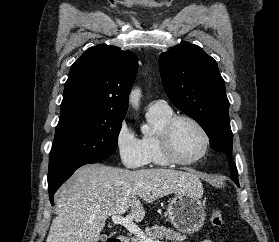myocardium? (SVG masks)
<instances>
[{"mask_svg": "<svg viewBox=\"0 0 279 242\" xmlns=\"http://www.w3.org/2000/svg\"><path fill=\"white\" fill-rule=\"evenodd\" d=\"M179 121H187L193 124L201 133L204 141V146L202 152L192 158V159H182L180 158L177 153L175 152L174 146H173V130L175 125ZM159 141L160 146L162 149V152L165 156V158L171 163L175 165H181V166H188L197 163L201 159H203L206 154L209 151L210 148V137L205 129V127L194 117H191L189 115H174L172 116L163 126L160 135H159Z\"/></svg>", "mask_w": 279, "mask_h": 242, "instance_id": "1", "label": "myocardium"}]
</instances>
